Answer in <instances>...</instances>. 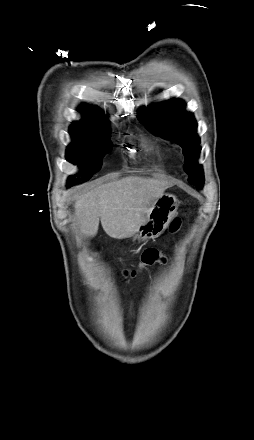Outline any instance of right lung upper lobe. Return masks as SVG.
Wrapping results in <instances>:
<instances>
[{"label": "right lung upper lobe", "mask_w": 254, "mask_h": 440, "mask_svg": "<svg viewBox=\"0 0 254 440\" xmlns=\"http://www.w3.org/2000/svg\"><path fill=\"white\" fill-rule=\"evenodd\" d=\"M80 112L84 115L85 120L74 122L71 127L85 128L91 130H105L108 127L107 120L101 116V113L88 106H84L80 109Z\"/></svg>", "instance_id": "cb5924a9"}]
</instances>
